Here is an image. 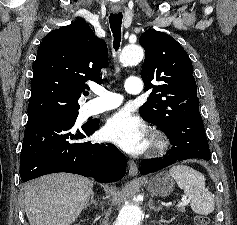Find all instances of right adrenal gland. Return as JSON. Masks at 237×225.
I'll return each mask as SVG.
<instances>
[{"instance_id":"2a0ac1e0","label":"right adrenal gland","mask_w":237,"mask_h":225,"mask_svg":"<svg viewBox=\"0 0 237 225\" xmlns=\"http://www.w3.org/2000/svg\"><path fill=\"white\" fill-rule=\"evenodd\" d=\"M92 204H94L95 206H97V201L94 199V192L91 194V199L90 202L85 206V209H87L89 206H91Z\"/></svg>"}]
</instances>
